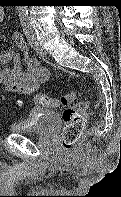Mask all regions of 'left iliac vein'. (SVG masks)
Segmentation results:
<instances>
[{"label": "left iliac vein", "mask_w": 121, "mask_h": 197, "mask_svg": "<svg viewBox=\"0 0 121 197\" xmlns=\"http://www.w3.org/2000/svg\"><path fill=\"white\" fill-rule=\"evenodd\" d=\"M33 48L35 50V52L41 56L44 57L46 56V51L43 49V47L40 45V43L38 42V40L36 39V37L34 36V45Z\"/></svg>", "instance_id": "obj_1"}]
</instances>
